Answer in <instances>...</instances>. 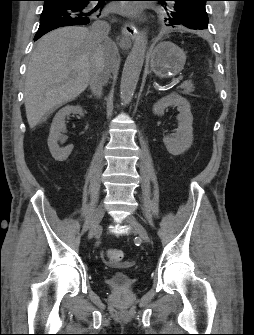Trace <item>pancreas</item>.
Wrapping results in <instances>:
<instances>
[{
    "instance_id": "pancreas-1",
    "label": "pancreas",
    "mask_w": 254,
    "mask_h": 335,
    "mask_svg": "<svg viewBox=\"0 0 254 335\" xmlns=\"http://www.w3.org/2000/svg\"><path fill=\"white\" fill-rule=\"evenodd\" d=\"M182 89V93L185 95H192L191 93L194 91V86L191 81H185L180 85Z\"/></svg>"
}]
</instances>
